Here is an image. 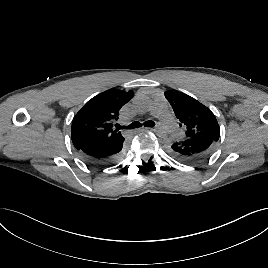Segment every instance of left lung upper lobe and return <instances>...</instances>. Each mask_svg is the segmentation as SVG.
<instances>
[{"mask_svg":"<svg viewBox=\"0 0 268 268\" xmlns=\"http://www.w3.org/2000/svg\"><path fill=\"white\" fill-rule=\"evenodd\" d=\"M164 94L179 119L180 126L185 128V138L208 137L218 141L220 127L209 108L178 91L169 90Z\"/></svg>","mask_w":268,"mask_h":268,"instance_id":"5c2ea615","label":"left lung upper lobe"}]
</instances>
